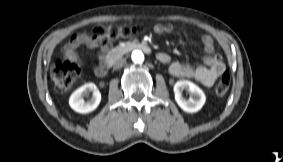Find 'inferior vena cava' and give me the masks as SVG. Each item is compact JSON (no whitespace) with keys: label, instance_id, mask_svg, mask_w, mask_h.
Wrapping results in <instances>:
<instances>
[{"label":"inferior vena cava","instance_id":"obj_1","mask_svg":"<svg viewBox=\"0 0 283 162\" xmlns=\"http://www.w3.org/2000/svg\"><path fill=\"white\" fill-rule=\"evenodd\" d=\"M126 60L125 59H119L114 63V68L115 69H119L120 67H122L125 64Z\"/></svg>","mask_w":283,"mask_h":162}]
</instances>
